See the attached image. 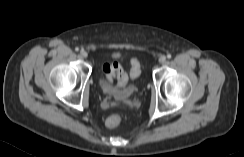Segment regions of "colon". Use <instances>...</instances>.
I'll return each instance as SVG.
<instances>
[{
  "label": "colon",
  "mask_w": 244,
  "mask_h": 157,
  "mask_svg": "<svg viewBox=\"0 0 244 157\" xmlns=\"http://www.w3.org/2000/svg\"><path fill=\"white\" fill-rule=\"evenodd\" d=\"M103 73L109 82H112L116 79L118 87L120 88L125 87L128 83V75L118 63L105 64L103 66ZM140 73V61L139 59L134 58L131 61L130 76L131 78L135 79L139 77ZM121 121L122 116L120 114H113L106 119V126L109 128H115L121 123Z\"/></svg>",
  "instance_id": "1"
}]
</instances>
